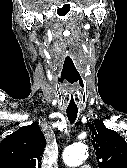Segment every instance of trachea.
I'll use <instances>...</instances> for the list:
<instances>
[{
  "label": "trachea",
  "mask_w": 127,
  "mask_h": 168,
  "mask_svg": "<svg viewBox=\"0 0 127 168\" xmlns=\"http://www.w3.org/2000/svg\"><path fill=\"white\" fill-rule=\"evenodd\" d=\"M69 122L72 124L77 118L78 108L76 106H68L66 109Z\"/></svg>",
  "instance_id": "1"
}]
</instances>
